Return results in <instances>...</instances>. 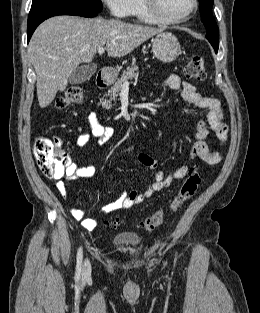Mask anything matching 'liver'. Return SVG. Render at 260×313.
I'll list each match as a JSON object with an SVG mask.
<instances>
[{
	"label": "liver",
	"mask_w": 260,
	"mask_h": 313,
	"mask_svg": "<svg viewBox=\"0 0 260 313\" xmlns=\"http://www.w3.org/2000/svg\"><path fill=\"white\" fill-rule=\"evenodd\" d=\"M163 30L102 17L56 16L44 21L28 46L39 106L47 107L58 91H65L72 72L81 63H91L100 47L106 45L109 57H123Z\"/></svg>",
	"instance_id": "liver-1"
}]
</instances>
